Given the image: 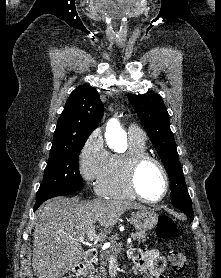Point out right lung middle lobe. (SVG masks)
<instances>
[{
    "label": "right lung middle lobe",
    "instance_id": "1",
    "mask_svg": "<svg viewBox=\"0 0 221 278\" xmlns=\"http://www.w3.org/2000/svg\"><path fill=\"white\" fill-rule=\"evenodd\" d=\"M85 142L86 140L72 145L51 148L43 181L37 192L36 203H42L61 191L81 190L83 188L78 159Z\"/></svg>",
    "mask_w": 221,
    "mask_h": 278
}]
</instances>
